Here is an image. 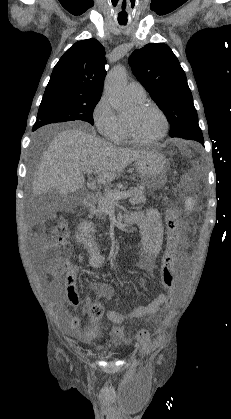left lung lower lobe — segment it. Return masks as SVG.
I'll use <instances>...</instances> for the list:
<instances>
[{
  "label": "left lung lower lobe",
  "mask_w": 231,
  "mask_h": 419,
  "mask_svg": "<svg viewBox=\"0 0 231 419\" xmlns=\"http://www.w3.org/2000/svg\"><path fill=\"white\" fill-rule=\"evenodd\" d=\"M180 138L189 139V140H195L200 142L202 145H204L203 135L202 133H193L190 135H186Z\"/></svg>",
  "instance_id": "left-lung-lower-lobe-1"
}]
</instances>
